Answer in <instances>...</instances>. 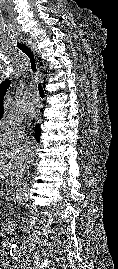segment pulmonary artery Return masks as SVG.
<instances>
[{
    "mask_svg": "<svg viewBox=\"0 0 118 269\" xmlns=\"http://www.w3.org/2000/svg\"><path fill=\"white\" fill-rule=\"evenodd\" d=\"M28 103L29 104H38L39 103V99L36 97H29L28 98Z\"/></svg>",
    "mask_w": 118,
    "mask_h": 269,
    "instance_id": "1",
    "label": "pulmonary artery"
}]
</instances>
